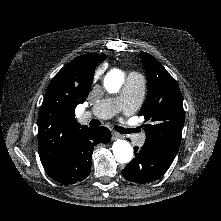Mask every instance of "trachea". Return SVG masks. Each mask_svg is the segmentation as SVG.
I'll return each mask as SVG.
<instances>
[{
  "label": "trachea",
  "instance_id": "1",
  "mask_svg": "<svg viewBox=\"0 0 221 221\" xmlns=\"http://www.w3.org/2000/svg\"><path fill=\"white\" fill-rule=\"evenodd\" d=\"M100 125V122L96 119H93L90 121V126H98ZM114 129L119 132V133H122V134H128V133H131V132H137L138 129L137 128H134V129H125L124 127H121V126H114Z\"/></svg>",
  "mask_w": 221,
  "mask_h": 221
}]
</instances>
